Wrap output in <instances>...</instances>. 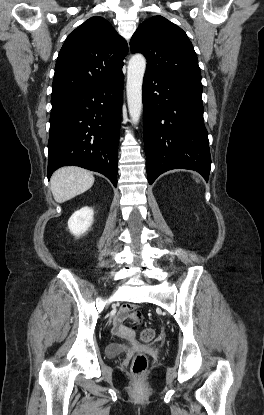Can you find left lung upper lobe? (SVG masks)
<instances>
[{"label":"left lung upper lobe","instance_id":"obj_1","mask_svg":"<svg viewBox=\"0 0 264 415\" xmlns=\"http://www.w3.org/2000/svg\"><path fill=\"white\" fill-rule=\"evenodd\" d=\"M133 53L147 59L146 72L201 84L197 55L186 33L162 16L144 21L130 41Z\"/></svg>","mask_w":264,"mask_h":415}]
</instances>
